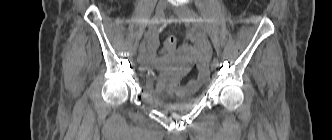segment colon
I'll return each instance as SVG.
<instances>
[{"instance_id":"5ec220e1","label":"colon","mask_w":332,"mask_h":140,"mask_svg":"<svg viewBox=\"0 0 332 140\" xmlns=\"http://www.w3.org/2000/svg\"><path fill=\"white\" fill-rule=\"evenodd\" d=\"M177 44V39L175 37H169L163 44L162 52L163 53H171Z\"/></svg>"}]
</instances>
